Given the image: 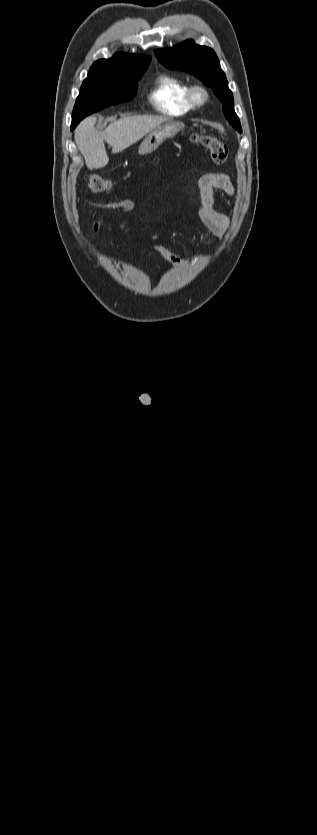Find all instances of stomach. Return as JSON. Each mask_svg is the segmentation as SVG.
<instances>
[{"instance_id": "obj_1", "label": "stomach", "mask_w": 317, "mask_h": 835, "mask_svg": "<svg viewBox=\"0 0 317 835\" xmlns=\"http://www.w3.org/2000/svg\"><path fill=\"white\" fill-rule=\"evenodd\" d=\"M184 129V124L179 121L169 120L152 129L139 147V154L145 155L154 152L166 139L175 136Z\"/></svg>"}]
</instances>
